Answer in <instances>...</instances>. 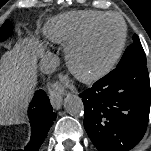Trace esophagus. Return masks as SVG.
Returning a JSON list of instances; mask_svg holds the SVG:
<instances>
[{"instance_id":"1","label":"esophagus","mask_w":151,"mask_h":151,"mask_svg":"<svg viewBox=\"0 0 151 151\" xmlns=\"http://www.w3.org/2000/svg\"><path fill=\"white\" fill-rule=\"evenodd\" d=\"M49 97H50L52 106L57 110L60 109L62 106L61 93L59 91L53 89L49 92Z\"/></svg>"}]
</instances>
